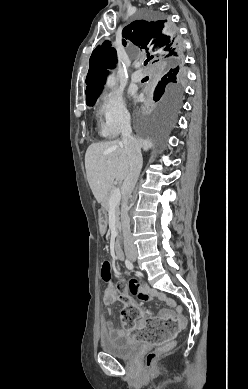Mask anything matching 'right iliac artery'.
<instances>
[{
  "label": "right iliac artery",
  "instance_id": "obj_1",
  "mask_svg": "<svg viewBox=\"0 0 248 389\" xmlns=\"http://www.w3.org/2000/svg\"><path fill=\"white\" fill-rule=\"evenodd\" d=\"M125 265L130 270H132L134 268L132 262H130L128 259L125 260Z\"/></svg>",
  "mask_w": 248,
  "mask_h": 389
}]
</instances>
